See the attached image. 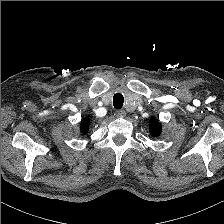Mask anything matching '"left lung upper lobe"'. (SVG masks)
I'll list each match as a JSON object with an SVG mask.
<instances>
[{
    "mask_svg": "<svg viewBox=\"0 0 224 224\" xmlns=\"http://www.w3.org/2000/svg\"><path fill=\"white\" fill-rule=\"evenodd\" d=\"M150 133L154 137L159 136L161 133V124L155 118L151 120Z\"/></svg>",
    "mask_w": 224,
    "mask_h": 224,
    "instance_id": "1",
    "label": "left lung upper lobe"
}]
</instances>
